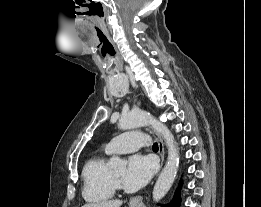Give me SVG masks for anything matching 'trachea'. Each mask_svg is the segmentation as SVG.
<instances>
[{
  "label": "trachea",
  "instance_id": "1",
  "mask_svg": "<svg viewBox=\"0 0 261 207\" xmlns=\"http://www.w3.org/2000/svg\"><path fill=\"white\" fill-rule=\"evenodd\" d=\"M152 149H153V150H158V149H159L158 144H156V143L153 144Z\"/></svg>",
  "mask_w": 261,
  "mask_h": 207
}]
</instances>
